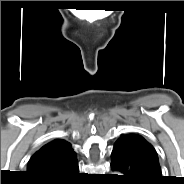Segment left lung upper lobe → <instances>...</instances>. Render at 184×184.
Returning <instances> with one entry per match:
<instances>
[{
    "instance_id": "1",
    "label": "left lung upper lobe",
    "mask_w": 184,
    "mask_h": 184,
    "mask_svg": "<svg viewBox=\"0 0 184 184\" xmlns=\"http://www.w3.org/2000/svg\"><path fill=\"white\" fill-rule=\"evenodd\" d=\"M116 143L128 145L135 152L150 158L156 163L157 166H159L156 151L143 137L135 134L122 135Z\"/></svg>"
}]
</instances>
